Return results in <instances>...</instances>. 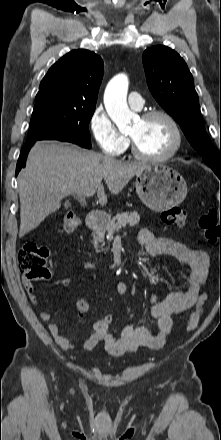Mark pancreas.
Instances as JSON below:
<instances>
[{"mask_svg":"<svg viewBox=\"0 0 221 440\" xmlns=\"http://www.w3.org/2000/svg\"><path fill=\"white\" fill-rule=\"evenodd\" d=\"M140 221V215L136 212H124L118 213L115 217H113L104 228L98 229L93 238L95 241L102 242L105 236V232H108L109 239L111 240L113 234L118 232L122 227H126L127 225L133 227L136 226Z\"/></svg>","mask_w":221,"mask_h":440,"instance_id":"obj_1","label":"pancreas"}]
</instances>
